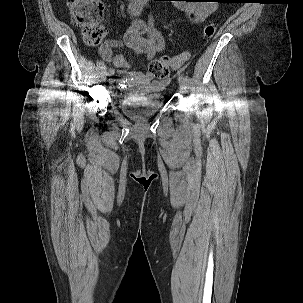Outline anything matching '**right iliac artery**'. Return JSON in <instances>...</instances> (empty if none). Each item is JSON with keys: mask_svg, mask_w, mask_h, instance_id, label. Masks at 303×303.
I'll list each match as a JSON object with an SVG mask.
<instances>
[{"mask_svg": "<svg viewBox=\"0 0 303 303\" xmlns=\"http://www.w3.org/2000/svg\"><path fill=\"white\" fill-rule=\"evenodd\" d=\"M150 24H153L152 18H150ZM114 74V69L110 68L107 72V75H113Z\"/></svg>", "mask_w": 303, "mask_h": 303, "instance_id": "1", "label": "right iliac artery"}]
</instances>
